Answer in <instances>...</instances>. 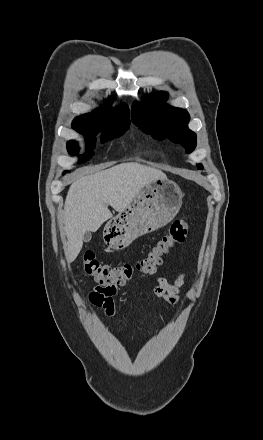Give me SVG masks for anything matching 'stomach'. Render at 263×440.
<instances>
[{"label":"stomach","mask_w":263,"mask_h":440,"mask_svg":"<svg viewBox=\"0 0 263 440\" xmlns=\"http://www.w3.org/2000/svg\"><path fill=\"white\" fill-rule=\"evenodd\" d=\"M182 198L179 185L167 177L148 183L106 224L105 241L121 250L136 238L164 227L179 212Z\"/></svg>","instance_id":"1"}]
</instances>
